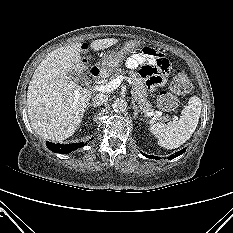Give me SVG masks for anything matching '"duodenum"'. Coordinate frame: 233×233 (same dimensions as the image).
Returning a JSON list of instances; mask_svg holds the SVG:
<instances>
[{
  "instance_id": "410a0bca",
  "label": "duodenum",
  "mask_w": 233,
  "mask_h": 233,
  "mask_svg": "<svg viewBox=\"0 0 233 233\" xmlns=\"http://www.w3.org/2000/svg\"><path fill=\"white\" fill-rule=\"evenodd\" d=\"M91 73H92V76L96 79L101 78L103 75V72L98 68H93Z\"/></svg>"
}]
</instances>
